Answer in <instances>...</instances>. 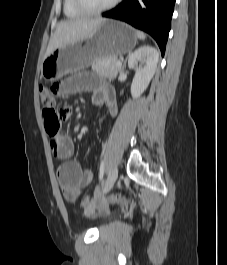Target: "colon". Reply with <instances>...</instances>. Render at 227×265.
I'll return each instance as SVG.
<instances>
[{"instance_id":"1","label":"colon","mask_w":227,"mask_h":265,"mask_svg":"<svg viewBox=\"0 0 227 265\" xmlns=\"http://www.w3.org/2000/svg\"><path fill=\"white\" fill-rule=\"evenodd\" d=\"M58 86L47 88L44 86L40 87V96L45 109L43 111L44 124L47 133L50 136L57 134L60 130L61 122L67 119L69 112H60V107L56 105V94L58 92ZM66 107V106H61ZM96 201L95 196L84 197L81 201V206L86 209H91ZM108 202L114 204H126L127 199L119 194L112 195Z\"/></svg>"}]
</instances>
